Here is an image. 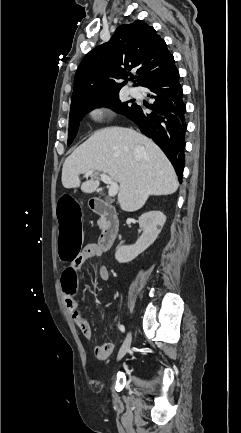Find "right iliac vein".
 <instances>
[{"label":"right iliac vein","mask_w":241,"mask_h":433,"mask_svg":"<svg viewBox=\"0 0 241 433\" xmlns=\"http://www.w3.org/2000/svg\"><path fill=\"white\" fill-rule=\"evenodd\" d=\"M131 341H132V335H131V332H128V334H127V336H126V338H125V340H124V342H123V344L119 350V353L117 356L118 360L122 359L125 356V354L128 352V350L131 346Z\"/></svg>","instance_id":"1"}]
</instances>
